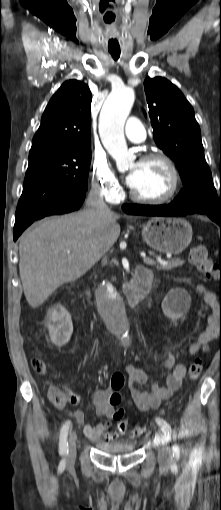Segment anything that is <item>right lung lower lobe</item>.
<instances>
[{
  "label": "right lung lower lobe",
  "mask_w": 221,
  "mask_h": 510,
  "mask_svg": "<svg viewBox=\"0 0 221 510\" xmlns=\"http://www.w3.org/2000/svg\"><path fill=\"white\" fill-rule=\"evenodd\" d=\"M85 195H86L85 192L79 193L76 196L65 199L63 201L56 203L53 206L45 208L44 210L32 216L29 215L24 216L16 213L15 225L13 230L14 241H16L17 238L21 235V233L35 220L41 219L45 216L64 214L79 209L85 199Z\"/></svg>",
  "instance_id": "98d812e1"
}]
</instances>
